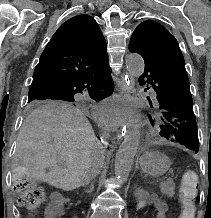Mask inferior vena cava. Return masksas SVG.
Listing matches in <instances>:
<instances>
[{
    "mask_svg": "<svg viewBox=\"0 0 211 218\" xmlns=\"http://www.w3.org/2000/svg\"><path fill=\"white\" fill-rule=\"evenodd\" d=\"M100 168H101V162H100V160H98L97 168H95V170H92V172H90L89 176H86V178H84V184H89L90 180H92V178H94V176H96V174H99Z\"/></svg>",
    "mask_w": 211,
    "mask_h": 218,
    "instance_id": "1",
    "label": "inferior vena cava"
}]
</instances>
